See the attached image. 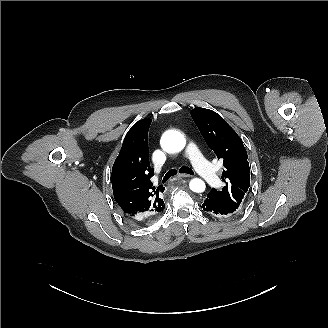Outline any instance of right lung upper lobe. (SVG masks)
<instances>
[{"label":"right lung upper lobe","mask_w":328,"mask_h":328,"mask_svg":"<svg viewBox=\"0 0 328 328\" xmlns=\"http://www.w3.org/2000/svg\"><path fill=\"white\" fill-rule=\"evenodd\" d=\"M151 119L136 122L123 141L119 156L112 167L111 182L116 202L134 223L144 225L158 218L165 208L161 194L150 178L148 130Z\"/></svg>","instance_id":"1"}]
</instances>
